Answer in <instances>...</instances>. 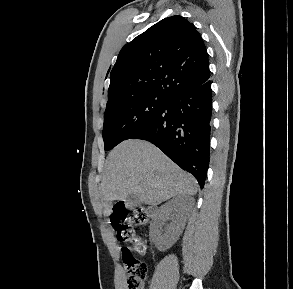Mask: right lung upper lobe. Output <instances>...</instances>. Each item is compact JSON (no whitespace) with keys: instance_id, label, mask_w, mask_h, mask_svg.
<instances>
[{"instance_id":"1","label":"right lung upper lobe","mask_w":293,"mask_h":289,"mask_svg":"<svg viewBox=\"0 0 293 289\" xmlns=\"http://www.w3.org/2000/svg\"><path fill=\"white\" fill-rule=\"evenodd\" d=\"M210 78L204 42L181 16L161 20L125 45L110 73L108 102L147 93L170 98Z\"/></svg>"}]
</instances>
